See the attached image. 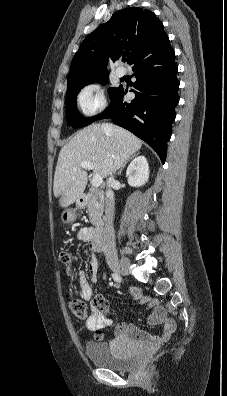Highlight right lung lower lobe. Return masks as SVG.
Returning a JSON list of instances; mask_svg holds the SVG:
<instances>
[{
    "mask_svg": "<svg viewBox=\"0 0 227 396\" xmlns=\"http://www.w3.org/2000/svg\"><path fill=\"white\" fill-rule=\"evenodd\" d=\"M174 58L169 41L143 53L132 64L137 79L135 90H131L134 101L123 102L127 90L120 86L109 106L95 118H111L114 124L131 131L149 144L163 163L176 116L174 108L179 102Z\"/></svg>",
    "mask_w": 227,
    "mask_h": 396,
    "instance_id": "obj_1",
    "label": "right lung lower lobe"
}]
</instances>
